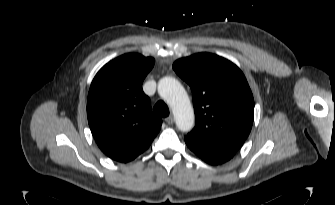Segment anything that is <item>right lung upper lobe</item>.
Masks as SVG:
<instances>
[{
	"label": "right lung upper lobe",
	"mask_w": 335,
	"mask_h": 205,
	"mask_svg": "<svg viewBox=\"0 0 335 205\" xmlns=\"http://www.w3.org/2000/svg\"><path fill=\"white\" fill-rule=\"evenodd\" d=\"M154 63L152 57L125 54L104 65L91 83L88 123L100 149L113 160L135 159L161 128L162 120L152 113L142 90Z\"/></svg>",
	"instance_id": "obj_1"
}]
</instances>
